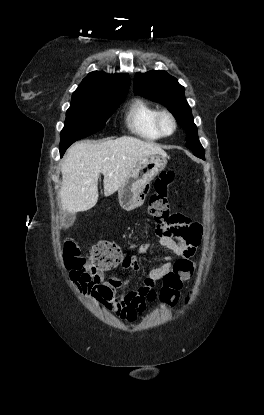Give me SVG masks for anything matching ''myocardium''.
<instances>
[{"label": "myocardium", "instance_id": "obj_1", "mask_svg": "<svg viewBox=\"0 0 264 415\" xmlns=\"http://www.w3.org/2000/svg\"><path fill=\"white\" fill-rule=\"evenodd\" d=\"M164 117H168L172 123V130L170 132H166L163 130L162 128V119ZM155 127L158 130L159 134L161 136H170L172 134L175 133L176 129H177V121L175 116L173 115L172 112H170L169 110H160L157 112L156 116H155Z\"/></svg>", "mask_w": 264, "mask_h": 415}]
</instances>
